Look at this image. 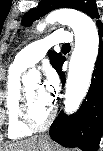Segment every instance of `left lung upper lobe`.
I'll list each match as a JSON object with an SVG mask.
<instances>
[{"mask_svg":"<svg viewBox=\"0 0 103 151\" xmlns=\"http://www.w3.org/2000/svg\"><path fill=\"white\" fill-rule=\"evenodd\" d=\"M57 8H74L86 13L91 18H99L95 0H41L36 8L25 13L21 22L23 26L29 27L34 21ZM97 25L103 27L100 20L97 21ZM49 55L52 66L58 71L65 61V57L54 51L49 52Z\"/></svg>","mask_w":103,"mask_h":151,"instance_id":"obj_1","label":"left lung upper lobe"}]
</instances>
